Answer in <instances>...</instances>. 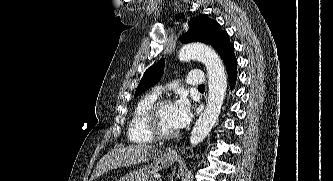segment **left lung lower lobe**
<instances>
[{
	"mask_svg": "<svg viewBox=\"0 0 333 181\" xmlns=\"http://www.w3.org/2000/svg\"><path fill=\"white\" fill-rule=\"evenodd\" d=\"M223 61L226 65L231 88L234 86L237 78V60L234 54V46L225 54Z\"/></svg>",
	"mask_w": 333,
	"mask_h": 181,
	"instance_id": "0a47b994",
	"label": "left lung lower lobe"
}]
</instances>
